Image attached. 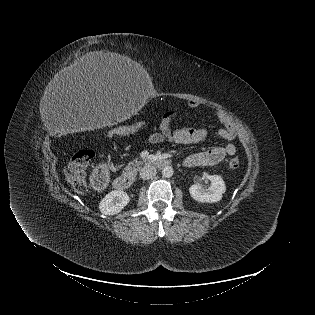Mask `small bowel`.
I'll return each instance as SVG.
<instances>
[{
    "label": "small bowel",
    "instance_id": "c3829d8e",
    "mask_svg": "<svg viewBox=\"0 0 315 315\" xmlns=\"http://www.w3.org/2000/svg\"><path fill=\"white\" fill-rule=\"evenodd\" d=\"M188 105L191 108H198L200 106L196 101H189ZM215 115L224 126V128L218 130V135L227 143L224 146H216L188 155L183 160L184 166L189 168L214 166L222 162L226 156H232L236 153V147L233 144V140L236 137L235 127L223 111L215 110ZM178 116L179 111L177 110H170L164 113L159 123L147 134L145 141L153 144L173 142L186 145L198 143L206 139L207 131L204 128H180L172 130L171 123Z\"/></svg>",
    "mask_w": 315,
    "mask_h": 315
}]
</instances>
